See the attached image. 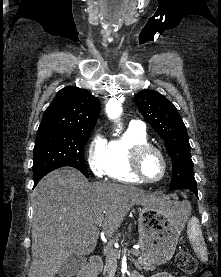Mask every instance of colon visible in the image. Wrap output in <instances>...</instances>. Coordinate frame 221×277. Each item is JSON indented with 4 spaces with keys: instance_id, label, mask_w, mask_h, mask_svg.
I'll list each match as a JSON object with an SVG mask.
<instances>
[{
    "instance_id": "5ec220e1",
    "label": "colon",
    "mask_w": 221,
    "mask_h": 277,
    "mask_svg": "<svg viewBox=\"0 0 221 277\" xmlns=\"http://www.w3.org/2000/svg\"><path fill=\"white\" fill-rule=\"evenodd\" d=\"M176 266L185 273H196L195 277H216L213 268L198 269V263L196 259L188 252L180 251L175 256Z\"/></svg>"
}]
</instances>
